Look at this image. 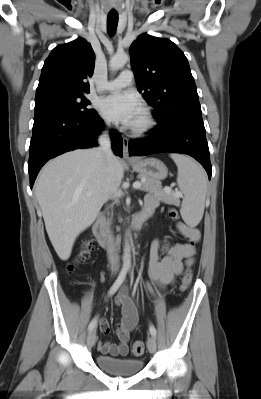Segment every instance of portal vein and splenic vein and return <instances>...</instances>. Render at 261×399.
I'll return each mask as SVG.
<instances>
[{"label":"portal vein and splenic vein","instance_id":"1","mask_svg":"<svg viewBox=\"0 0 261 399\" xmlns=\"http://www.w3.org/2000/svg\"><path fill=\"white\" fill-rule=\"evenodd\" d=\"M144 181H145V180H143V182H144ZM141 186H142V184H141V182H139V181H136V182L133 183V188H134V189H139V188H141ZM166 191H167V192H171V188H167ZM174 194H175L176 196H181V195H182V193L179 192V191H176ZM115 195H116V196H121V195H122V192H121L120 190L115 191Z\"/></svg>","mask_w":261,"mask_h":399}]
</instances>
